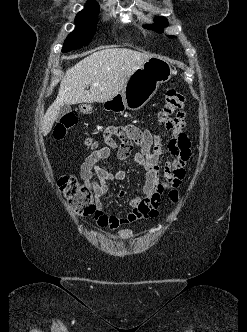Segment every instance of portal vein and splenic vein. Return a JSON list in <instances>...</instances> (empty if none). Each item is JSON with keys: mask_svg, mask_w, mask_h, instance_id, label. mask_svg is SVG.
I'll return each instance as SVG.
<instances>
[{"mask_svg": "<svg viewBox=\"0 0 247 332\" xmlns=\"http://www.w3.org/2000/svg\"><path fill=\"white\" fill-rule=\"evenodd\" d=\"M92 86H99V84L98 83H93V84H91Z\"/></svg>", "mask_w": 247, "mask_h": 332, "instance_id": "1", "label": "portal vein and splenic vein"}]
</instances>
